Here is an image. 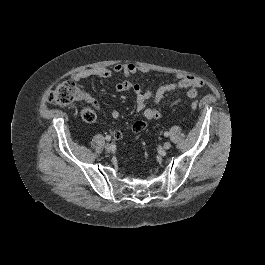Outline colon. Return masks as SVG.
Here are the masks:
<instances>
[{
	"label": "colon",
	"instance_id": "colon-1",
	"mask_svg": "<svg viewBox=\"0 0 265 265\" xmlns=\"http://www.w3.org/2000/svg\"><path fill=\"white\" fill-rule=\"evenodd\" d=\"M83 99V91L72 81H67L58 85L47 95L48 102L58 106L70 105ZM190 106L195 110L197 108V102H192ZM81 114L83 119L88 122H92L96 118V112L94 108L90 106L83 107Z\"/></svg>",
	"mask_w": 265,
	"mask_h": 265
}]
</instances>
